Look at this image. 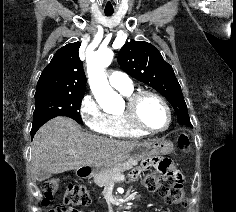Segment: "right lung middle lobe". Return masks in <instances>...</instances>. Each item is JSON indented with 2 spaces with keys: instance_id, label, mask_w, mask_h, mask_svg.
<instances>
[{
  "instance_id": "1",
  "label": "right lung middle lobe",
  "mask_w": 236,
  "mask_h": 212,
  "mask_svg": "<svg viewBox=\"0 0 236 212\" xmlns=\"http://www.w3.org/2000/svg\"><path fill=\"white\" fill-rule=\"evenodd\" d=\"M84 94H49L35 97V110L31 136L48 120L57 116H67L82 124L80 104Z\"/></svg>"
}]
</instances>
